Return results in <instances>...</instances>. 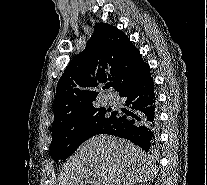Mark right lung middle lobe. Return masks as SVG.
Instances as JSON below:
<instances>
[{
    "label": "right lung middle lobe",
    "instance_id": "obj_1",
    "mask_svg": "<svg viewBox=\"0 0 207 185\" xmlns=\"http://www.w3.org/2000/svg\"><path fill=\"white\" fill-rule=\"evenodd\" d=\"M115 119L116 113L111 108H96L52 128L51 157L55 161L68 158L83 142L99 134Z\"/></svg>",
    "mask_w": 207,
    "mask_h": 185
}]
</instances>
